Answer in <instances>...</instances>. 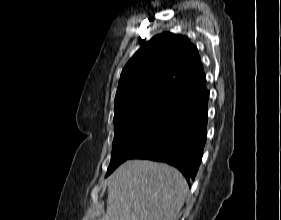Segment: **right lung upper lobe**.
I'll list each match as a JSON object with an SVG mask.
<instances>
[{
  "instance_id": "cb5924a9",
  "label": "right lung upper lobe",
  "mask_w": 281,
  "mask_h": 220,
  "mask_svg": "<svg viewBox=\"0 0 281 220\" xmlns=\"http://www.w3.org/2000/svg\"><path fill=\"white\" fill-rule=\"evenodd\" d=\"M207 91L198 50L170 32L143 42L124 67L115 97L114 121L145 114L171 116Z\"/></svg>"
}]
</instances>
